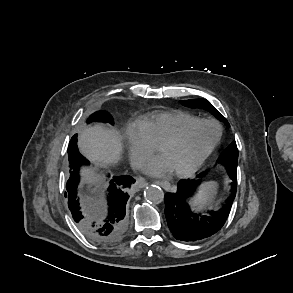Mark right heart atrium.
I'll use <instances>...</instances> for the list:
<instances>
[{
  "mask_svg": "<svg viewBox=\"0 0 293 293\" xmlns=\"http://www.w3.org/2000/svg\"><path fill=\"white\" fill-rule=\"evenodd\" d=\"M129 158L133 165L139 166L154 151V144L140 124L130 126L125 133Z\"/></svg>",
  "mask_w": 293,
  "mask_h": 293,
  "instance_id": "obj_1",
  "label": "right heart atrium"
}]
</instances>
